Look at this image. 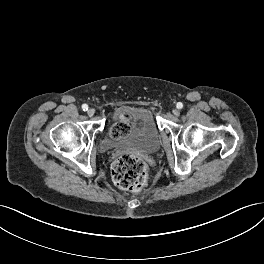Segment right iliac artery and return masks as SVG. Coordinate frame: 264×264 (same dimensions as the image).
Listing matches in <instances>:
<instances>
[{"label":"right iliac artery","mask_w":264,"mask_h":264,"mask_svg":"<svg viewBox=\"0 0 264 264\" xmlns=\"http://www.w3.org/2000/svg\"><path fill=\"white\" fill-rule=\"evenodd\" d=\"M82 110L83 111H87L88 110V105L87 104H83L82 105Z\"/></svg>","instance_id":"82829eb1"}]
</instances>
